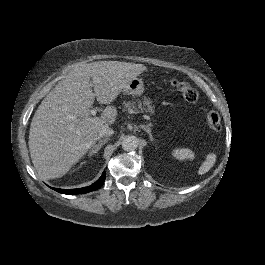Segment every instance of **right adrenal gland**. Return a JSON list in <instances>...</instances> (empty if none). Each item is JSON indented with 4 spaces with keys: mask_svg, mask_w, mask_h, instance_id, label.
<instances>
[{
    "mask_svg": "<svg viewBox=\"0 0 265 265\" xmlns=\"http://www.w3.org/2000/svg\"><path fill=\"white\" fill-rule=\"evenodd\" d=\"M109 139H110L109 136H107L105 139L99 140L98 144L92 145V148L89 151L88 155L91 157L92 155L98 153V151L102 148L104 144H106L109 141Z\"/></svg>",
    "mask_w": 265,
    "mask_h": 265,
    "instance_id": "right-adrenal-gland-1",
    "label": "right adrenal gland"
}]
</instances>
